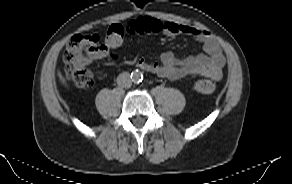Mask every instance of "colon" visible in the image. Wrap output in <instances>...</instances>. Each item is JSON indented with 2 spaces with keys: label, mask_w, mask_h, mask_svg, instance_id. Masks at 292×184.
Returning a JSON list of instances; mask_svg holds the SVG:
<instances>
[{
  "label": "colon",
  "mask_w": 292,
  "mask_h": 184,
  "mask_svg": "<svg viewBox=\"0 0 292 184\" xmlns=\"http://www.w3.org/2000/svg\"><path fill=\"white\" fill-rule=\"evenodd\" d=\"M141 34H156L160 31L158 22L144 19L139 23ZM125 35V29L120 24L111 25L103 41L96 34L75 35L68 43L63 55L67 77L80 88H89L94 83L92 71L88 68L89 62L106 52L108 49L119 47ZM195 89L202 94H211L216 85L212 80L200 79L195 83Z\"/></svg>",
  "instance_id": "5ec220e1"
}]
</instances>
